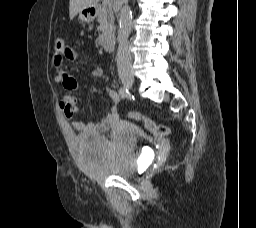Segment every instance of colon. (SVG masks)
Wrapping results in <instances>:
<instances>
[{
  "label": "colon",
  "instance_id": "1",
  "mask_svg": "<svg viewBox=\"0 0 256 228\" xmlns=\"http://www.w3.org/2000/svg\"><path fill=\"white\" fill-rule=\"evenodd\" d=\"M68 45L66 42L58 38L55 40L54 49H55V56L62 58L65 56L68 50ZM129 117L135 121L141 122L145 129L151 133H153L156 136H166L170 133V130L167 126L163 124H159L144 115H142L138 111H131L129 112Z\"/></svg>",
  "mask_w": 256,
  "mask_h": 228
}]
</instances>
